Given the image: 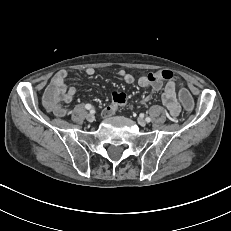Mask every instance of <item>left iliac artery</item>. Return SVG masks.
I'll use <instances>...</instances> for the list:
<instances>
[{
	"label": "left iliac artery",
	"mask_w": 231,
	"mask_h": 231,
	"mask_svg": "<svg viewBox=\"0 0 231 231\" xmlns=\"http://www.w3.org/2000/svg\"><path fill=\"white\" fill-rule=\"evenodd\" d=\"M145 120H146V122H148V123L151 122V118H150V117H146Z\"/></svg>",
	"instance_id": "44dca946"
}]
</instances>
